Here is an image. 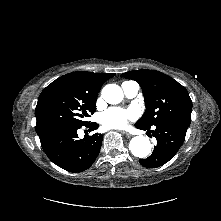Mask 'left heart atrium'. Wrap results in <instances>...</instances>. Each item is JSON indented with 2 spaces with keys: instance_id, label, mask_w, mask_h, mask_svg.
I'll return each instance as SVG.
<instances>
[{
  "instance_id": "left-heart-atrium-1",
  "label": "left heart atrium",
  "mask_w": 221,
  "mask_h": 221,
  "mask_svg": "<svg viewBox=\"0 0 221 221\" xmlns=\"http://www.w3.org/2000/svg\"><path fill=\"white\" fill-rule=\"evenodd\" d=\"M137 114L134 109L112 107L102 113L100 121L106 128H124L130 121L135 120Z\"/></svg>"
}]
</instances>
